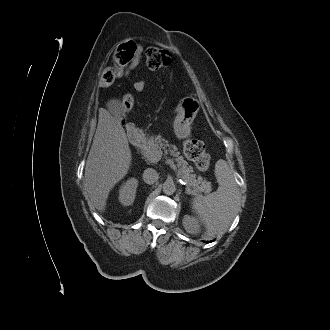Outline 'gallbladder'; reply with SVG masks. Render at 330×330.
I'll use <instances>...</instances> for the list:
<instances>
[{"label":"gallbladder","mask_w":330,"mask_h":330,"mask_svg":"<svg viewBox=\"0 0 330 330\" xmlns=\"http://www.w3.org/2000/svg\"><path fill=\"white\" fill-rule=\"evenodd\" d=\"M118 118H123L125 116V108L119 105L117 111L114 113Z\"/></svg>","instance_id":"1"}]
</instances>
